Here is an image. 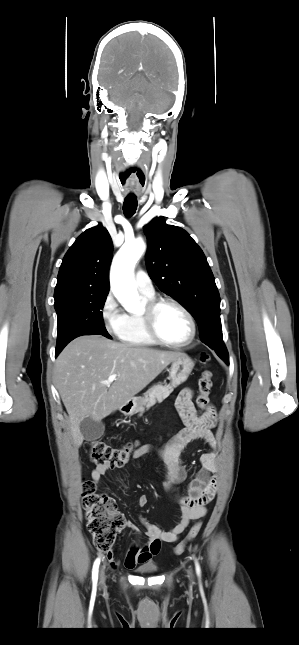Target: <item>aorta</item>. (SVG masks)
<instances>
[{
  "mask_svg": "<svg viewBox=\"0 0 299 645\" xmlns=\"http://www.w3.org/2000/svg\"><path fill=\"white\" fill-rule=\"evenodd\" d=\"M145 248V243L142 240L124 243L116 254L111 267V290L128 311H135L139 307L133 271Z\"/></svg>",
  "mask_w": 299,
  "mask_h": 645,
  "instance_id": "aorta-1",
  "label": "aorta"
}]
</instances>
